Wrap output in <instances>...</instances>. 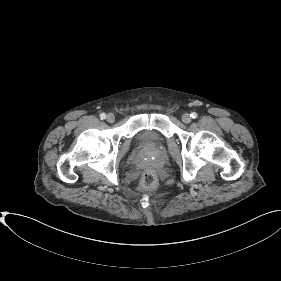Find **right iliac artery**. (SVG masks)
<instances>
[{"instance_id":"obj_1","label":"right iliac artery","mask_w":281,"mask_h":281,"mask_svg":"<svg viewBox=\"0 0 281 281\" xmlns=\"http://www.w3.org/2000/svg\"><path fill=\"white\" fill-rule=\"evenodd\" d=\"M100 118H101V119H105V118H106V114H105V113H101V114H100Z\"/></svg>"}]
</instances>
